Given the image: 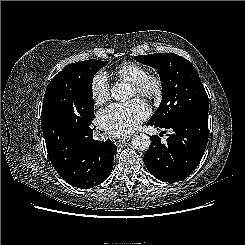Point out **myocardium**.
Segmentation results:
<instances>
[{"label":"myocardium","mask_w":245,"mask_h":245,"mask_svg":"<svg viewBox=\"0 0 245 245\" xmlns=\"http://www.w3.org/2000/svg\"><path fill=\"white\" fill-rule=\"evenodd\" d=\"M130 86L135 89L136 94L148 99H157L163 91V82L159 75L147 73L140 79L130 83Z\"/></svg>","instance_id":"f54148a6"}]
</instances>
